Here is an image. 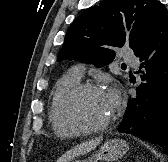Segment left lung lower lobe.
I'll list each match as a JSON object with an SVG mask.
<instances>
[{
    "label": "left lung lower lobe",
    "instance_id": "1",
    "mask_svg": "<svg viewBox=\"0 0 168 162\" xmlns=\"http://www.w3.org/2000/svg\"><path fill=\"white\" fill-rule=\"evenodd\" d=\"M143 83L129 99L118 131L135 135L168 150V14L160 19L150 36L134 52Z\"/></svg>",
    "mask_w": 168,
    "mask_h": 162
}]
</instances>
